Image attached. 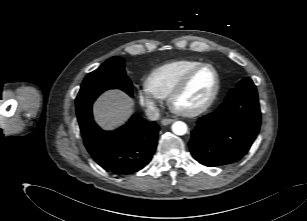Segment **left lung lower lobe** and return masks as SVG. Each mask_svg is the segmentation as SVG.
Returning <instances> with one entry per match:
<instances>
[{
  "label": "left lung lower lobe",
  "instance_id": "0a47b994",
  "mask_svg": "<svg viewBox=\"0 0 307 221\" xmlns=\"http://www.w3.org/2000/svg\"><path fill=\"white\" fill-rule=\"evenodd\" d=\"M260 124L257 93L228 95L214 112L199 118L191 132V154L207 167L237 162L251 147Z\"/></svg>",
  "mask_w": 307,
  "mask_h": 221
}]
</instances>
